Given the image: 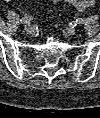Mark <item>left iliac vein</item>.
Segmentation results:
<instances>
[{"label":"left iliac vein","mask_w":100,"mask_h":118,"mask_svg":"<svg viewBox=\"0 0 100 118\" xmlns=\"http://www.w3.org/2000/svg\"><path fill=\"white\" fill-rule=\"evenodd\" d=\"M76 33V29L73 27H68L64 30V35L65 36H72Z\"/></svg>","instance_id":"left-iliac-vein-1"}]
</instances>
